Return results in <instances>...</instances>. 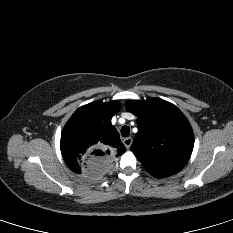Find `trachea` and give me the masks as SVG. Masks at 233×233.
Instances as JSON below:
<instances>
[{"label":"trachea","instance_id":"1","mask_svg":"<svg viewBox=\"0 0 233 233\" xmlns=\"http://www.w3.org/2000/svg\"><path fill=\"white\" fill-rule=\"evenodd\" d=\"M121 134L123 137H128L130 134V128L128 126H123L121 128Z\"/></svg>","mask_w":233,"mask_h":233}]
</instances>
